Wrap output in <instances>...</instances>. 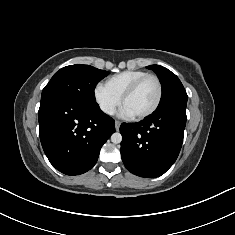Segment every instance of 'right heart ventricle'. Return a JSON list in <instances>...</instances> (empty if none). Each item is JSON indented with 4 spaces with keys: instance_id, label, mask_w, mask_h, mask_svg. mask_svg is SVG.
<instances>
[{
    "instance_id": "right-heart-ventricle-1",
    "label": "right heart ventricle",
    "mask_w": 235,
    "mask_h": 235,
    "mask_svg": "<svg viewBox=\"0 0 235 235\" xmlns=\"http://www.w3.org/2000/svg\"><path fill=\"white\" fill-rule=\"evenodd\" d=\"M148 74L142 70H126L109 77L105 81V86L114 93L117 97L121 98L122 94L127 88L140 77Z\"/></svg>"
}]
</instances>
